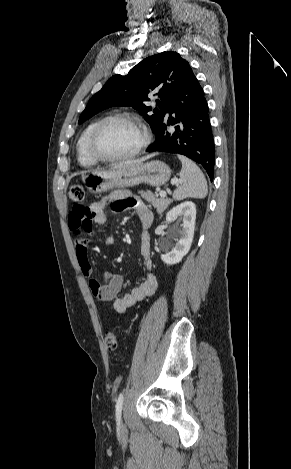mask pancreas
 Masks as SVG:
<instances>
[{
  "instance_id": "pancreas-1",
  "label": "pancreas",
  "mask_w": 291,
  "mask_h": 469,
  "mask_svg": "<svg viewBox=\"0 0 291 469\" xmlns=\"http://www.w3.org/2000/svg\"><path fill=\"white\" fill-rule=\"evenodd\" d=\"M139 194L143 199L151 203L159 214L163 213L172 202V200L168 198H157L150 191H139Z\"/></svg>"
}]
</instances>
